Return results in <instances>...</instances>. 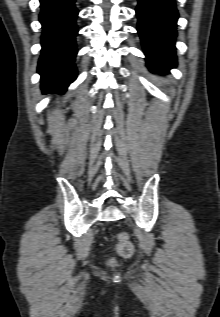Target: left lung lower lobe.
<instances>
[{
	"label": "left lung lower lobe",
	"instance_id": "0a47b994",
	"mask_svg": "<svg viewBox=\"0 0 220 317\" xmlns=\"http://www.w3.org/2000/svg\"><path fill=\"white\" fill-rule=\"evenodd\" d=\"M137 30L152 72L165 73L176 66L174 40L178 12L174 0H138Z\"/></svg>",
	"mask_w": 220,
	"mask_h": 317
}]
</instances>
